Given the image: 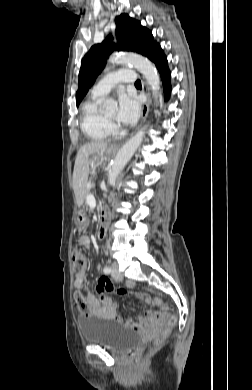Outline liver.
Segmentation results:
<instances>
[{"label":"liver","mask_w":252,"mask_h":390,"mask_svg":"<svg viewBox=\"0 0 252 390\" xmlns=\"http://www.w3.org/2000/svg\"><path fill=\"white\" fill-rule=\"evenodd\" d=\"M107 146L106 142L95 141L83 145L76 156L73 171V190L79 204H82L86 195V184L90 172L89 156L103 152Z\"/></svg>","instance_id":"6515ba94"}]
</instances>
